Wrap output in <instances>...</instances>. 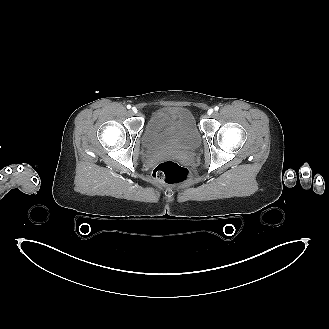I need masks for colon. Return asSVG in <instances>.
Here are the masks:
<instances>
[{"label": "colon", "instance_id": "1", "mask_svg": "<svg viewBox=\"0 0 329 329\" xmlns=\"http://www.w3.org/2000/svg\"><path fill=\"white\" fill-rule=\"evenodd\" d=\"M153 176L167 185H186L194 181V173L174 161L159 163L153 170Z\"/></svg>", "mask_w": 329, "mask_h": 329}]
</instances>
